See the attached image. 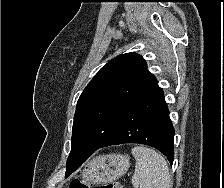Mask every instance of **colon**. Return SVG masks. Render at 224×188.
Wrapping results in <instances>:
<instances>
[{"label":"colon","mask_w":224,"mask_h":188,"mask_svg":"<svg viewBox=\"0 0 224 188\" xmlns=\"http://www.w3.org/2000/svg\"><path fill=\"white\" fill-rule=\"evenodd\" d=\"M69 188H123V186L118 182H109L91 187L86 181L75 179L71 181Z\"/></svg>","instance_id":"1"}]
</instances>
